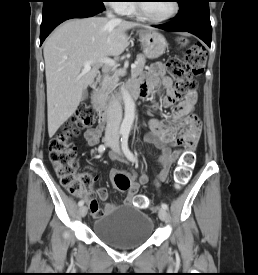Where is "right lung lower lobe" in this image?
<instances>
[{
    "instance_id": "98d812e1",
    "label": "right lung lower lobe",
    "mask_w": 258,
    "mask_h": 275,
    "mask_svg": "<svg viewBox=\"0 0 258 275\" xmlns=\"http://www.w3.org/2000/svg\"><path fill=\"white\" fill-rule=\"evenodd\" d=\"M40 45L65 20L92 17L104 10L102 0H44Z\"/></svg>"
}]
</instances>
